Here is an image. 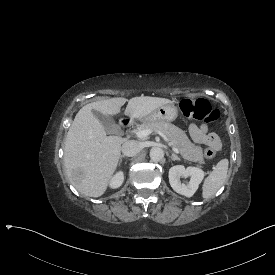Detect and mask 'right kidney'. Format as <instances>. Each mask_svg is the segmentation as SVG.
Here are the masks:
<instances>
[{
  "label": "right kidney",
  "instance_id": "1",
  "mask_svg": "<svg viewBox=\"0 0 275 275\" xmlns=\"http://www.w3.org/2000/svg\"><path fill=\"white\" fill-rule=\"evenodd\" d=\"M123 182V174L122 173H118L113 181H112V187H119Z\"/></svg>",
  "mask_w": 275,
  "mask_h": 275
}]
</instances>
